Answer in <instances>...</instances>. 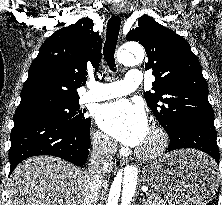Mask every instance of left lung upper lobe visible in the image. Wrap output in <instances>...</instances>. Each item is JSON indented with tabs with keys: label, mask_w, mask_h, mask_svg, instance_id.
<instances>
[{
	"label": "left lung upper lobe",
	"mask_w": 222,
	"mask_h": 205,
	"mask_svg": "<svg viewBox=\"0 0 222 205\" xmlns=\"http://www.w3.org/2000/svg\"><path fill=\"white\" fill-rule=\"evenodd\" d=\"M126 39L145 48V68L155 76L154 92H146L145 99L168 135L188 117L214 120L201 65L183 37L143 15Z\"/></svg>",
	"instance_id": "5c2ea615"
}]
</instances>
